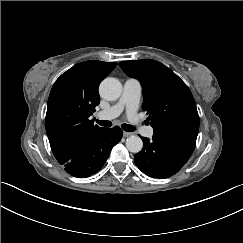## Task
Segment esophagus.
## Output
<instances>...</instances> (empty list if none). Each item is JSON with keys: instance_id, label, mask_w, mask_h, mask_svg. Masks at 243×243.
<instances>
[{"instance_id": "obj_1", "label": "esophagus", "mask_w": 243, "mask_h": 243, "mask_svg": "<svg viewBox=\"0 0 243 243\" xmlns=\"http://www.w3.org/2000/svg\"><path fill=\"white\" fill-rule=\"evenodd\" d=\"M133 135V133H131V132H124L123 133V137H130V136H132Z\"/></svg>"}]
</instances>
